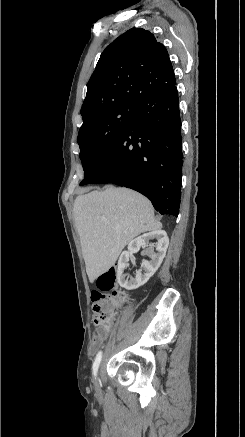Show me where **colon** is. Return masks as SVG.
I'll use <instances>...</instances> for the list:
<instances>
[{
  "label": "colon",
  "instance_id": "1",
  "mask_svg": "<svg viewBox=\"0 0 245 437\" xmlns=\"http://www.w3.org/2000/svg\"><path fill=\"white\" fill-rule=\"evenodd\" d=\"M124 299V295L117 290L115 267L110 268L97 278L96 289L91 292L96 337L107 335L114 317V307L122 303Z\"/></svg>",
  "mask_w": 245,
  "mask_h": 437
}]
</instances>
